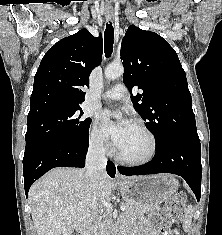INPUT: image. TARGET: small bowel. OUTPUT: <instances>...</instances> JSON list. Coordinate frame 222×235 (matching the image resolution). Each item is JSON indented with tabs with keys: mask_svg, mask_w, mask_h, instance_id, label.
Instances as JSON below:
<instances>
[{
	"mask_svg": "<svg viewBox=\"0 0 222 235\" xmlns=\"http://www.w3.org/2000/svg\"><path fill=\"white\" fill-rule=\"evenodd\" d=\"M158 224V220L156 216H151L150 219L147 221V227L144 229H140L133 235H157L156 226Z\"/></svg>",
	"mask_w": 222,
	"mask_h": 235,
	"instance_id": "small-bowel-1",
	"label": "small bowel"
}]
</instances>
